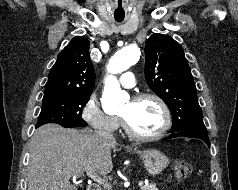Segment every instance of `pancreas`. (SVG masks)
Returning <instances> with one entry per match:
<instances>
[{"instance_id": "cf45deb5", "label": "pancreas", "mask_w": 238, "mask_h": 190, "mask_svg": "<svg viewBox=\"0 0 238 190\" xmlns=\"http://www.w3.org/2000/svg\"><path fill=\"white\" fill-rule=\"evenodd\" d=\"M111 188L110 187H104L103 189H100V190H110ZM141 190H158V188L156 187L155 184H148V185H144L141 187Z\"/></svg>"}]
</instances>
